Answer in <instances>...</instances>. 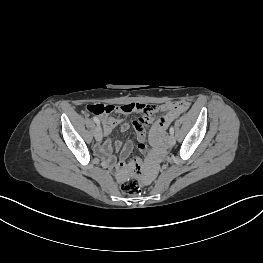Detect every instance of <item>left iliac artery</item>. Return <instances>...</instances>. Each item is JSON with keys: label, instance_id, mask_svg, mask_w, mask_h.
Returning <instances> with one entry per match:
<instances>
[{"label": "left iliac artery", "instance_id": "44dca946", "mask_svg": "<svg viewBox=\"0 0 263 263\" xmlns=\"http://www.w3.org/2000/svg\"><path fill=\"white\" fill-rule=\"evenodd\" d=\"M169 131H170L171 135H174V128H173V126L170 127Z\"/></svg>", "mask_w": 263, "mask_h": 263}]
</instances>
